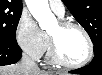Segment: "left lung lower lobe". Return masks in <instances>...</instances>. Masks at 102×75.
<instances>
[{
	"label": "left lung lower lobe",
	"instance_id": "1",
	"mask_svg": "<svg viewBox=\"0 0 102 75\" xmlns=\"http://www.w3.org/2000/svg\"><path fill=\"white\" fill-rule=\"evenodd\" d=\"M81 75H102V50L95 53V57L89 65L70 71Z\"/></svg>",
	"mask_w": 102,
	"mask_h": 75
}]
</instances>
